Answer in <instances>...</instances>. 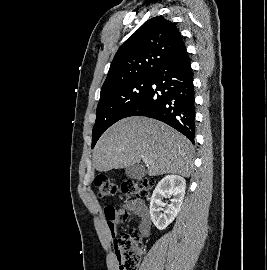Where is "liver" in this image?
<instances>
[{
    "mask_svg": "<svg viewBox=\"0 0 267 270\" xmlns=\"http://www.w3.org/2000/svg\"><path fill=\"white\" fill-rule=\"evenodd\" d=\"M193 151L191 142L168 125L134 116L116 122L101 136L93 151V165L106 172L139 164L144 157L149 176L189 177Z\"/></svg>",
    "mask_w": 267,
    "mask_h": 270,
    "instance_id": "1",
    "label": "liver"
}]
</instances>
